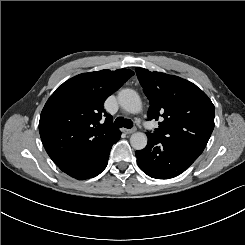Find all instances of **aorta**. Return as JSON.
I'll return each instance as SVG.
<instances>
[{
  "mask_svg": "<svg viewBox=\"0 0 245 245\" xmlns=\"http://www.w3.org/2000/svg\"><path fill=\"white\" fill-rule=\"evenodd\" d=\"M120 106L129 113L136 114L142 110V103L138 93L132 89H123L118 94ZM147 136L142 132L131 135L130 144L136 150H142L147 145Z\"/></svg>",
  "mask_w": 245,
  "mask_h": 245,
  "instance_id": "obj_1",
  "label": "aorta"
}]
</instances>
